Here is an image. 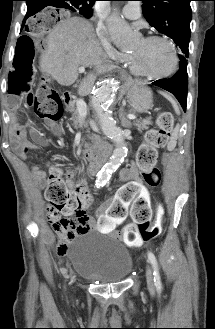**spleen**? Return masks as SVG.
<instances>
[{
  "mask_svg": "<svg viewBox=\"0 0 215 329\" xmlns=\"http://www.w3.org/2000/svg\"><path fill=\"white\" fill-rule=\"evenodd\" d=\"M163 95L166 99H168L171 102L175 112L177 114H180L179 107H178L176 101L172 98V96H170L169 94H166V93H163ZM178 130H179V126H176V129L174 130V132L172 134V137H171V140H170V143L168 145L169 150H173L176 146V142H177L176 140H177V137H178Z\"/></svg>",
  "mask_w": 215,
  "mask_h": 329,
  "instance_id": "spleen-1",
  "label": "spleen"
}]
</instances>
